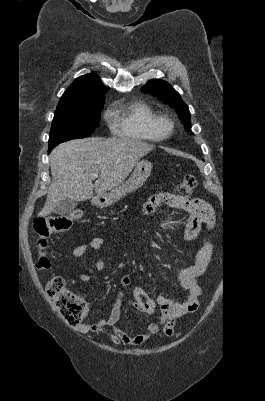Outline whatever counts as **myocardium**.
I'll list each match as a JSON object with an SVG mask.
<instances>
[{"label": "myocardium", "instance_id": "myocardium-1", "mask_svg": "<svg viewBox=\"0 0 265 401\" xmlns=\"http://www.w3.org/2000/svg\"><path fill=\"white\" fill-rule=\"evenodd\" d=\"M174 122L167 117H160L154 125L155 134L159 139L170 137L174 133Z\"/></svg>", "mask_w": 265, "mask_h": 401}]
</instances>
